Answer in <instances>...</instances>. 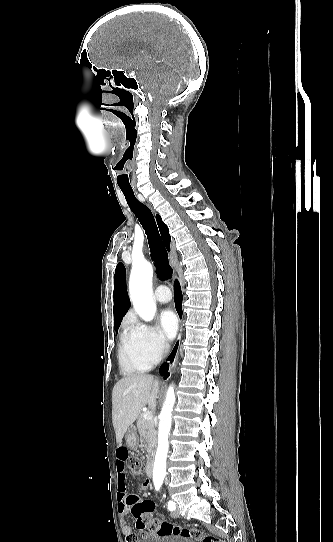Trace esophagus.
Segmentation results:
<instances>
[{
    "instance_id": "esophagus-1",
    "label": "esophagus",
    "mask_w": 333,
    "mask_h": 542,
    "mask_svg": "<svg viewBox=\"0 0 333 542\" xmlns=\"http://www.w3.org/2000/svg\"><path fill=\"white\" fill-rule=\"evenodd\" d=\"M177 360H178V355L176 356V359H175V362H174L173 366H175V365H176V363H177Z\"/></svg>"
}]
</instances>
